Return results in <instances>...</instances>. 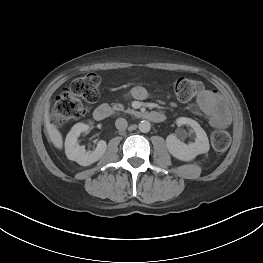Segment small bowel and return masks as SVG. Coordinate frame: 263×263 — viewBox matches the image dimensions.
I'll use <instances>...</instances> for the list:
<instances>
[{"mask_svg": "<svg viewBox=\"0 0 263 263\" xmlns=\"http://www.w3.org/2000/svg\"><path fill=\"white\" fill-rule=\"evenodd\" d=\"M148 95V90L142 86H135L129 92V96L136 100H144ZM192 109L198 114L207 116L213 127L225 128L230 125L229 112L221 96L214 90L202 91Z\"/></svg>", "mask_w": 263, "mask_h": 263, "instance_id": "obj_1", "label": "small bowel"}]
</instances>
